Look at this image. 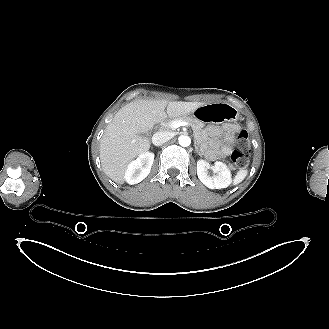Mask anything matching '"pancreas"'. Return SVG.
I'll return each instance as SVG.
<instances>
[{
    "instance_id": "1",
    "label": "pancreas",
    "mask_w": 329,
    "mask_h": 329,
    "mask_svg": "<svg viewBox=\"0 0 329 329\" xmlns=\"http://www.w3.org/2000/svg\"><path fill=\"white\" fill-rule=\"evenodd\" d=\"M174 121L187 122L195 131L200 130L202 128V123L194 117L183 116V117L174 118L167 123V126L170 127L171 123Z\"/></svg>"
}]
</instances>
